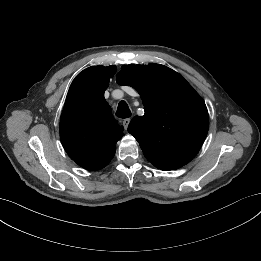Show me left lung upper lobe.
<instances>
[{
	"instance_id": "5c2ea615",
	"label": "left lung upper lobe",
	"mask_w": 261,
	"mask_h": 261,
	"mask_svg": "<svg viewBox=\"0 0 261 261\" xmlns=\"http://www.w3.org/2000/svg\"><path fill=\"white\" fill-rule=\"evenodd\" d=\"M117 81L135 88L144 116H136L128 131L150 163L161 170L178 169L200 150L209 128L206 105L174 70L159 64L124 65Z\"/></svg>"
}]
</instances>
